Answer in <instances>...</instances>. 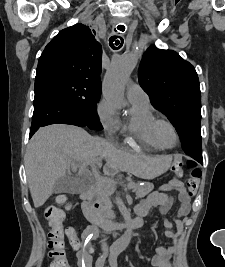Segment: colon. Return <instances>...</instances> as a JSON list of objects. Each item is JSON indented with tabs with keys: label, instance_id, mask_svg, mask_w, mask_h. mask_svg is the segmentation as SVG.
Listing matches in <instances>:
<instances>
[{
	"label": "colon",
	"instance_id": "5ec220e1",
	"mask_svg": "<svg viewBox=\"0 0 225 267\" xmlns=\"http://www.w3.org/2000/svg\"><path fill=\"white\" fill-rule=\"evenodd\" d=\"M188 164L192 167L191 176L188 180V190L190 195H194L197 191L200 179L201 170L195 167L191 161H184L181 156H175L172 164V170L178 175H182L184 166ZM61 204H67L65 198L59 200ZM46 218L50 222L51 230L49 232L48 247L49 256L52 259L50 267H70L68 261V253L66 250L65 238L68 237L70 244L73 248H80L81 243L77 236V228L69 225L66 228L62 225V213L61 210L55 206H49L45 211Z\"/></svg>",
	"mask_w": 225,
	"mask_h": 267
}]
</instances>
